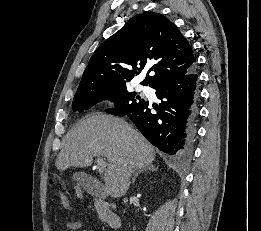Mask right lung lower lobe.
Returning a JSON list of instances; mask_svg holds the SVG:
<instances>
[{
  "label": "right lung lower lobe",
  "mask_w": 261,
  "mask_h": 231,
  "mask_svg": "<svg viewBox=\"0 0 261 231\" xmlns=\"http://www.w3.org/2000/svg\"><path fill=\"white\" fill-rule=\"evenodd\" d=\"M198 83L195 67L182 76L162 80L152 87L163 100L160 110L146 101L124 116H128L144 137L161 151L185 156L190 152L195 133ZM152 108L158 112L151 113Z\"/></svg>",
  "instance_id": "right-lung-lower-lobe-1"
}]
</instances>
